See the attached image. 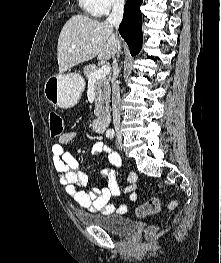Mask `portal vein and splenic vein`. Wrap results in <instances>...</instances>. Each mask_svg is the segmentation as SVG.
Returning a JSON list of instances; mask_svg holds the SVG:
<instances>
[{"label":"portal vein and splenic vein","mask_w":221,"mask_h":263,"mask_svg":"<svg viewBox=\"0 0 221 263\" xmlns=\"http://www.w3.org/2000/svg\"><path fill=\"white\" fill-rule=\"evenodd\" d=\"M109 73H110V67L109 66H102L98 70L91 73V75L89 77V82H94L97 79L105 77Z\"/></svg>","instance_id":"portal-vein-and-splenic-vein-1"}]
</instances>
